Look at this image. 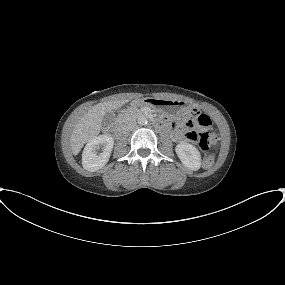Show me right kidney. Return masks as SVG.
Wrapping results in <instances>:
<instances>
[{
    "instance_id": "ca27d5eb",
    "label": "right kidney",
    "mask_w": 285,
    "mask_h": 285,
    "mask_svg": "<svg viewBox=\"0 0 285 285\" xmlns=\"http://www.w3.org/2000/svg\"><path fill=\"white\" fill-rule=\"evenodd\" d=\"M114 146V140L109 135H99L90 140L82 153L83 168L95 172L104 167L109 161L111 151ZM101 149L102 152L98 153L97 150Z\"/></svg>"
}]
</instances>
